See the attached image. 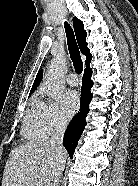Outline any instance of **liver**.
<instances>
[{
    "mask_svg": "<svg viewBox=\"0 0 138 186\" xmlns=\"http://www.w3.org/2000/svg\"><path fill=\"white\" fill-rule=\"evenodd\" d=\"M66 157V152H58L46 142H28L15 147L6 162L2 186H33L34 181H42L46 186L51 167L59 155Z\"/></svg>",
    "mask_w": 138,
    "mask_h": 186,
    "instance_id": "liver-1",
    "label": "liver"
}]
</instances>
